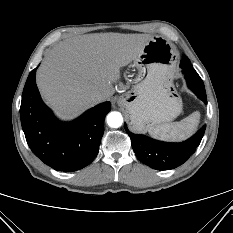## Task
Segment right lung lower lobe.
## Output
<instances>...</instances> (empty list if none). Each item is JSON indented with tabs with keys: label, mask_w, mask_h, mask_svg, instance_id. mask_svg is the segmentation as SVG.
I'll return each mask as SVG.
<instances>
[{
	"label": "right lung lower lobe",
	"mask_w": 233,
	"mask_h": 233,
	"mask_svg": "<svg viewBox=\"0 0 233 233\" xmlns=\"http://www.w3.org/2000/svg\"><path fill=\"white\" fill-rule=\"evenodd\" d=\"M36 69L27 78L20 107L27 143L40 160L57 171L82 169L98 154L111 104L101 103L70 123L59 122L40 97Z\"/></svg>",
	"instance_id": "obj_1"
}]
</instances>
